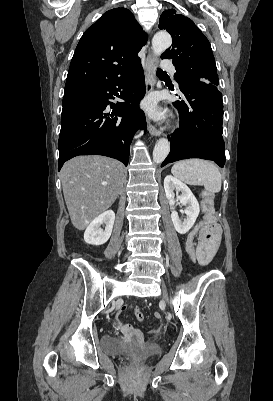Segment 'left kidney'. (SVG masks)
<instances>
[{
  "instance_id": "5707ae66",
  "label": "left kidney",
  "mask_w": 273,
  "mask_h": 401,
  "mask_svg": "<svg viewBox=\"0 0 273 401\" xmlns=\"http://www.w3.org/2000/svg\"><path fill=\"white\" fill-rule=\"evenodd\" d=\"M164 188L170 207H173V205L176 203L174 198V190H180L181 192V194H177V201H180V205H187L185 211H183V213L187 215L184 221L179 219L177 211H172L171 213L172 223L177 233H180V235H185V233H188L191 227H193L200 213V207L197 198H195L193 192H191L187 184H184V182H181V180H178V178H175V176H171V174H167V176H165Z\"/></svg>"
}]
</instances>
